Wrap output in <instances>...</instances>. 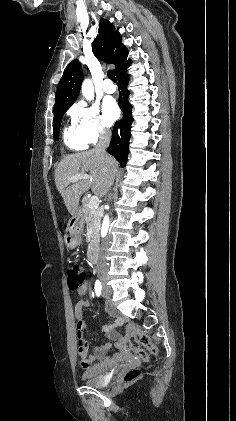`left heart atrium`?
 <instances>
[{
	"label": "left heart atrium",
	"instance_id": "obj_1",
	"mask_svg": "<svg viewBox=\"0 0 236 421\" xmlns=\"http://www.w3.org/2000/svg\"><path fill=\"white\" fill-rule=\"evenodd\" d=\"M103 111L106 121L111 124L120 117V109L113 98H107L103 102Z\"/></svg>",
	"mask_w": 236,
	"mask_h": 421
}]
</instances>
